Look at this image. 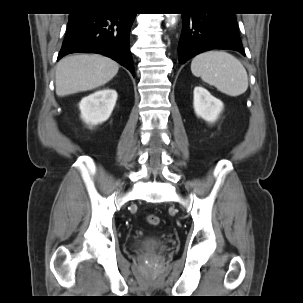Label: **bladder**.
<instances>
[{"instance_id": "31cf9c89", "label": "bladder", "mask_w": 303, "mask_h": 303, "mask_svg": "<svg viewBox=\"0 0 303 303\" xmlns=\"http://www.w3.org/2000/svg\"><path fill=\"white\" fill-rule=\"evenodd\" d=\"M133 246L143 251H150L154 249L164 248L166 246V243L161 238L149 236L146 237L142 242L134 243Z\"/></svg>"}]
</instances>
